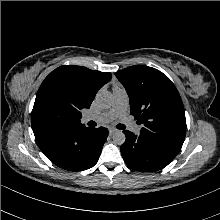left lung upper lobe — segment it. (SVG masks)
<instances>
[{
  "label": "left lung upper lobe",
  "mask_w": 220,
  "mask_h": 220,
  "mask_svg": "<svg viewBox=\"0 0 220 220\" xmlns=\"http://www.w3.org/2000/svg\"><path fill=\"white\" fill-rule=\"evenodd\" d=\"M130 100V113L144 127L140 135L179 153L186 133L181 97L161 71L135 65L115 73Z\"/></svg>",
  "instance_id": "1"
}]
</instances>
